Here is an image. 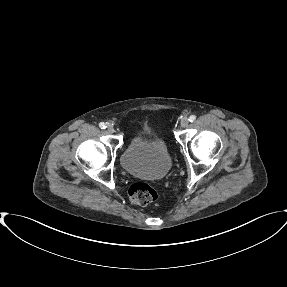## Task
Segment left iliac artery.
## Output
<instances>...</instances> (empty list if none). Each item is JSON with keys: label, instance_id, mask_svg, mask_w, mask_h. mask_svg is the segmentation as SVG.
<instances>
[{"label": "left iliac artery", "instance_id": "left-iliac-artery-1", "mask_svg": "<svg viewBox=\"0 0 287 287\" xmlns=\"http://www.w3.org/2000/svg\"><path fill=\"white\" fill-rule=\"evenodd\" d=\"M195 119H196V116H195V115H191V116L189 117V121H190V122L195 121Z\"/></svg>", "mask_w": 287, "mask_h": 287}]
</instances>
